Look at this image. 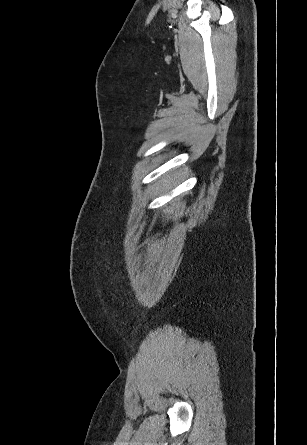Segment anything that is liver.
<instances>
[{
  "mask_svg": "<svg viewBox=\"0 0 307 445\" xmlns=\"http://www.w3.org/2000/svg\"><path fill=\"white\" fill-rule=\"evenodd\" d=\"M166 184H170V180H167Z\"/></svg>",
  "mask_w": 307,
  "mask_h": 445,
  "instance_id": "liver-1",
  "label": "liver"
}]
</instances>
